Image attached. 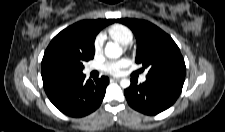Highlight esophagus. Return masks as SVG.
<instances>
[{
  "label": "esophagus",
  "mask_w": 225,
  "mask_h": 132,
  "mask_svg": "<svg viewBox=\"0 0 225 132\" xmlns=\"http://www.w3.org/2000/svg\"><path fill=\"white\" fill-rule=\"evenodd\" d=\"M120 80V78H117V77H111L110 78V81H119Z\"/></svg>",
  "instance_id": "obj_1"
}]
</instances>
